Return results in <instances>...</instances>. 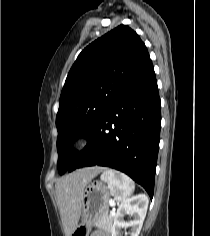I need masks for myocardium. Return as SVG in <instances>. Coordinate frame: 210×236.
Returning <instances> with one entry per match:
<instances>
[{"mask_svg":"<svg viewBox=\"0 0 210 236\" xmlns=\"http://www.w3.org/2000/svg\"><path fill=\"white\" fill-rule=\"evenodd\" d=\"M87 141V136L84 133H78L74 136L72 140V147L73 148H80L82 147Z\"/></svg>","mask_w":210,"mask_h":236,"instance_id":"f54148a6","label":"myocardium"}]
</instances>
